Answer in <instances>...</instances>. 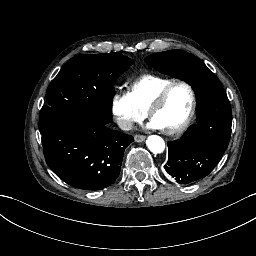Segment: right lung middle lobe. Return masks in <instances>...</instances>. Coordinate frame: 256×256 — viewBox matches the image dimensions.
I'll return each instance as SVG.
<instances>
[{"instance_id": "dd1d6c3e", "label": "right lung middle lobe", "mask_w": 256, "mask_h": 256, "mask_svg": "<svg viewBox=\"0 0 256 256\" xmlns=\"http://www.w3.org/2000/svg\"><path fill=\"white\" fill-rule=\"evenodd\" d=\"M133 60L120 53L71 58L50 83L40 112L39 130L62 124L79 129L81 122H111L115 80Z\"/></svg>"}]
</instances>
